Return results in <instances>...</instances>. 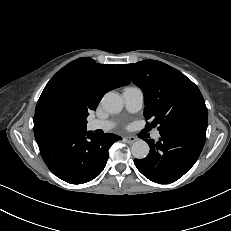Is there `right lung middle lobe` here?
<instances>
[{
    "label": "right lung middle lobe",
    "instance_id": "obj_1",
    "mask_svg": "<svg viewBox=\"0 0 231 231\" xmlns=\"http://www.w3.org/2000/svg\"><path fill=\"white\" fill-rule=\"evenodd\" d=\"M50 128L53 134H65L71 132L70 120L66 112L60 110L50 119Z\"/></svg>",
    "mask_w": 231,
    "mask_h": 231
}]
</instances>
